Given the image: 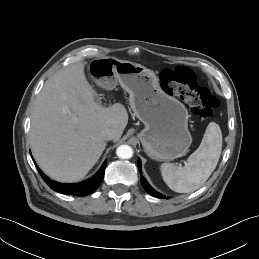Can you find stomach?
Masks as SVG:
<instances>
[{"mask_svg": "<svg viewBox=\"0 0 259 259\" xmlns=\"http://www.w3.org/2000/svg\"><path fill=\"white\" fill-rule=\"evenodd\" d=\"M91 78L106 89L117 82L129 93L130 106L145 128L138 137L145 153L154 160L183 156L192 143L185 106L165 93L155 73L141 64L113 57L93 59Z\"/></svg>", "mask_w": 259, "mask_h": 259, "instance_id": "1", "label": "stomach"}]
</instances>
